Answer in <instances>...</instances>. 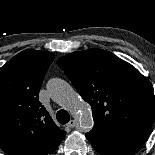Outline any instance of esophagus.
I'll use <instances>...</instances> for the list:
<instances>
[{"label": "esophagus", "mask_w": 155, "mask_h": 155, "mask_svg": "<svg viewBox=\"0 0 155 155\" xmlns=\"http://www.w3.org/2000/svg\"><path fill=\"white\" fill-rule=\"evenodd\" d=\"M76 125H77V121L76 120H70L67 123V127H69V128H74Z\"/></svg>", "instance_id": "esophagus-1"}]
</instances>
